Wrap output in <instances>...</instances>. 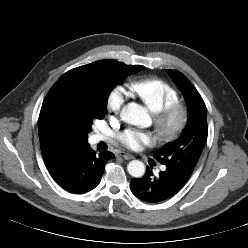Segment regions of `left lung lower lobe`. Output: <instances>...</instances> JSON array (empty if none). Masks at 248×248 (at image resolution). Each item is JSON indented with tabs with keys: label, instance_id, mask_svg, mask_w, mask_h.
<instances>
[{
	"label": "left lung lower lobe",
	"instance_id": "left-lung-lower-lobe-1",
	"mask_svg": "<svg viewBox=\"0 0 248 248\" xmlns=\"http://www.w3.org/2000/svg\"><path fill=\"white\" fill-rule=\"evenodd\" d=\"M152 176V171L147 168L146 174L142 178H132L130 183L132 193L144 202L158 203L165 201L177 194L185 185L169 169L161 171L158 177L153 178Z\"/></svg>",
	"mask_w": 248,
	"mask_h": 248
}]
</instances>
